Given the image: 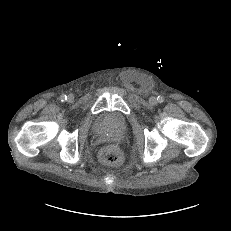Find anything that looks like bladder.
Listing matches in <instances>:
<instances>
[{"label":"bladder","instance_id":"31cf9c89","mask_svg":"<svg viewBox=\"0 0 231 231\" xmlns=\"http://www.w3.org/2000/svg\"><path fill=\"white\" fill-rule=\"evenodd\" d=\"M127 126L128 120L126 116L118 112H104L94 122L95 130L108 129L119 134L125 132Z\"/></svg>","mask_w":231,"mask_h":231}]
</instances>
